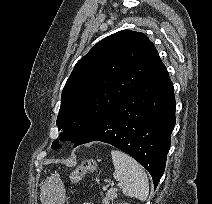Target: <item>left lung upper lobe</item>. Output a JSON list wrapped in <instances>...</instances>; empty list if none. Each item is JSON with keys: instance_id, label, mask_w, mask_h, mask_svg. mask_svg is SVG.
<instances>
[{"instance_id": "obj_1", "label": "left lung upper lobe", "mask_w": 212, "mask_h": 204, "mask_svg": "<svg viewBox=\"0 0 212 204\" xmlns=\"http://www.w3.org/2000/svg\"><path fill=\"white\" fill-rule=\"evenodd\" d=\"M161 65L143 33L123 30L98 42L76 63L64 86L57 118L60 139L75 145ZM60 147L55 140L52 148Z\"/></svg>"}]
</instances>
